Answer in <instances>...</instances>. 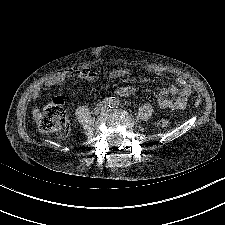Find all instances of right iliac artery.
<instances>
[{
  "mask_svg": "<svg viewBox=\"0 0 225 225\" xmlns=\"http://www.w3.org/2000/svg\"><path fill=\"white\" fill-rule=\"evenodd\" d=\"M114 101V97H107L104 99L103 103L105 106L112 107Z\"/></svg>",
  "mask_w": 225,
  "mask_h": 225,
  "instance_id": "right-iliac-artery-1",
  "label": "right iliac artery"
}]
</instances>
